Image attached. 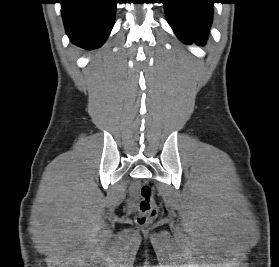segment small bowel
Segmentation results:
<instances>
[{
    "label": "small bowel",
    "mask_w": 279,
    "mask_h": 267,
    "mask_svg": "<svg viewBox=\"0 0 279 267\" xmlns=\"http://www.w3.org/2000/svg\"><path fill=\"white\" fill-rule=\"evenodd\" d=\"M132 195H133V196H135V189H134V188H133V192H132Z\"/></svg>",
    "instance_id": "obj_1"
}]
</instances>
